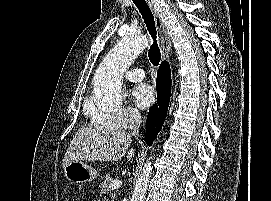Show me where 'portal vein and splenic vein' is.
Instances as JSON below:
<instances>
[{"instance_id": "1", "label": "portal vein and splenic vein", "mask_w": 271, "mask_h": 201, "mask_svg": "<svg viewBox=\"0 0 271 201\" xmlns=\"http://www.w3.org/2000/svg\"><path fill=\"white\" fill-rule=\"evenodd\" d=\"M121 184H122L121 180H114V181H112V183L110 184L109 189H110V190L116 189V188L120 187Z\"/></svg>"}]
</instances>
